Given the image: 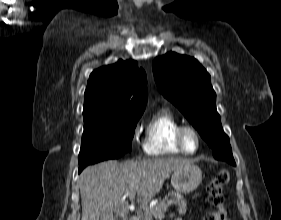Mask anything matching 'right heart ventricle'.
I'll return each mask as SVG.
<instances>
[{
  "label": "right heart ventricle",
  "mask_w": 281,
  "mask_h": 220,
  "mask_svg": "<svg viewBox=\"0 0 281 220\" xmlns=\"http://www.w3.org/2000/svg\"><path fill=\"white\" fill-rule=\"evenodd\" d=\"M180 121L168 109H159L148 121L143 141L144 152L150 156L184 154L176 141Z\"/></svg>",
  "instance_id": "obj_1"
}]
</instances>
